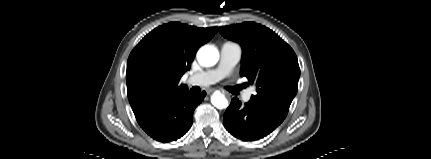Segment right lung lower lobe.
<instances>
[{"label":"right lung lower lobe","mask_w":431,"mask_h":159,"mask_svg":"<svg viewBox=\"0 0 431 159\" xmlns=\"http://www.w3.org/2000/svg\"><path fill=\"white\" fill-rule=\"evenodd\" d=\"M205 96V92L195 95L187 89L155 106L137 121L153 139L163 143L175 141L190 129L193 112Z\"/></svg>","instance_id":"obj_1"}]
</instances>
